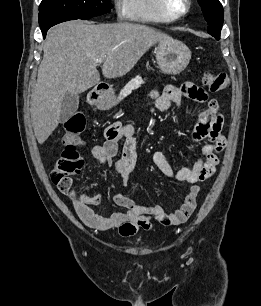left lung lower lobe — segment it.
<instances>
[{"instance_id": "0a47b994", "label": "left lung lower lobe", "mask_w": 261, "mask_h": 306, "mask_svg": "<svg viewBox=\"0 0 261 306\" xmlns=\"http://www.w3.org/2000/svg\"><path fill=\"white\" fill-rule=\"evenodd\" d=\"M217 40H219L220 39V37H215Z\"/></svg>"}]
</instances>
